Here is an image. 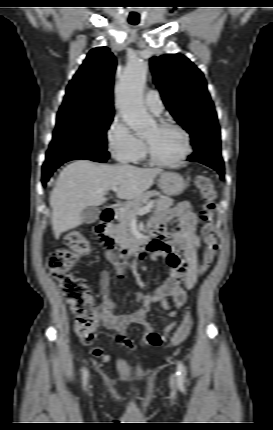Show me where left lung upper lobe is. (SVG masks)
Returning a JSON list of instances; mask_svg holds the SVG:
<instances>
[{
	"mask_svg": "<svg viewBox=\"0 0 273 430\" xmlns=\"http://www.w3.org/2000/svg\"><path fill=\"white\" fill-rule=\"evenodd\" d=\"M150 66L167 109L191 135L194 149L207 142L220 143L217 115L203 73L181 54L153 57Z\"/></svg>",
	"mask_w": 273,
	"mask_h": 430,
	"instance_id": "1",
	"label": "left lung upper lobe"
}]
</instances>
